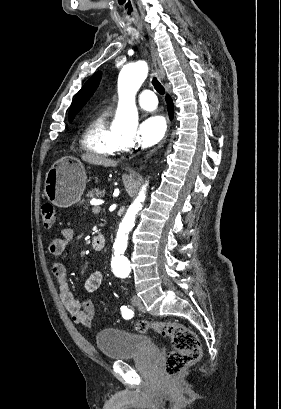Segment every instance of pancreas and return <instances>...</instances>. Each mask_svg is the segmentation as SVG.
I'll list each match as a JSON object with an SVG mask.
<instances>
[{"label":"pancreas","instance_id":"pancreas-1","mask_svg":"<svg viewBox=\"0 0 281 409\" xmlns=\"http://www.w3.org/2000/svg\"><path fill=\"white\" fill-rule=\"evenodd\" d=\"M105 194V188L100 190V188H92V190H88L86 196L87 198H102ZM83 202V200H81Z\"/></svg>","mask_w":281,"mask_h":409}]
</instances>
